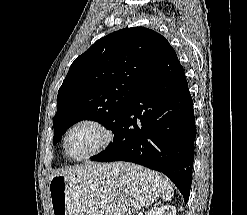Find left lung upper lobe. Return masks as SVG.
Here are the masks:
<instances>
[{
    "label": "left lung upper lobe",
    "mask_w": 247,
    "mask_h": 215,
    "mask_svg": "<svg viewBox=\"0 0 247 215\" xmlns=\"http://www.w3.org/2000/svg\"><path fill=\"white\" fill-rule=\"evenodd\" d=\"M169 47L162 35L144 27L125 28L96 41L72 63L58 91L53 144L81 120L97 121L114 133Z\"/></svg>",
    "instance_id": "left-lung-upper-lobe-1"
}]
</instances>
